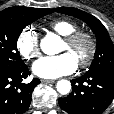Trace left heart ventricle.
<instances>
[{"instance_id":"left-heart-ventricle-1","label":"left heart ventricle","mask_w":114,"mask_h":114,"mask_svg":"<svg viewBox=\"0 0 114 114\" xmlns=\"http://www.w3.org/2000/svg\"><path fill=\"white\" fill-rule=\"evenodd\" d=\"M61 51H68L76 61H78V59L86 53L87 45L85 43H81L75 50H69L65 42H63Z\"/></svg>"}]
</instances>
